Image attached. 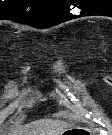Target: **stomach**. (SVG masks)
Returning <instances> with one entry per match:
<instances>
[{"label":"stomach","instance_id":"1","mask_svg":"<svg viewBox=\"0 0 112 135\" xmlns=\"http://www.w3.org/2000/svg\"><path fill=\"white\" fill-rule=\"evenodd\" d=\"M63 135H84V134H91L90 131L84 128H71L62 133Z\"/></svg>","mask_w":112,"mask_h":135}]
</instances>
